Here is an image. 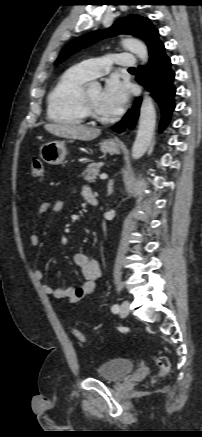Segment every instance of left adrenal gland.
<instances>
[{
	"instance_id": "left-adrenal-gland-1",
	"label": "left adrenal gland",
	"mask_w": 202,
	"mask_h": 437,
	"mask_svg": "<svg viewBox=\"0 0 202 437\" xmlns=\"http://www.w3.org/2000/svg\"><path fill=\"white\" fill-rule=\"evenodd\" d=\"M107 191H108V196L111 195L113 193V180H110L108 185H107Z\"/></svg>"
}]
</instances>
